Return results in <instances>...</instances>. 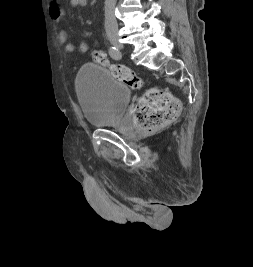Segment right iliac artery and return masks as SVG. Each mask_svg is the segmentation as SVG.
Here are the masks:
<instances>
[{
    "label": "right iliac artery",
    "mask_w": 253,
    "mask_h": 267,
    "mask_svg": "<svg viewBox=\"0 0 253 267\" xmlns=\"http://www.w3.org/2000/svg\"><path fill=\"white\" fill-rule=\"evenodd\" d=\"M109 54L115 60H120L122 58L121 52L114 46L109 48Z\"/></svg>",
    "instance_id": "1"
}]
</instances>
